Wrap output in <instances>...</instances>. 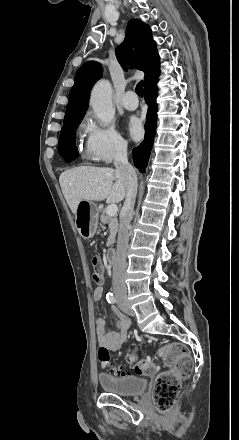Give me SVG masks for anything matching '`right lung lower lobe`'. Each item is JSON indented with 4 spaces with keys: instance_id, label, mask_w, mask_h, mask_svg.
I'll use <instances>...</instances> for the list:
<instances>
[{
    "instance_id": "98d812e1",
    "label": "right lung lower lobe",
    "mask_w": 239,
    "mask_h": 440,
    "mask_svg": "<svg viewBox=\"0 0 239 440\" xmlns=\"http://www.w3.org/2000/svg\"><path fill=\"white\" fill-rule=\"evenodd\" d=\"M160 72L153 74L147 80H145V101L148 104V112L146 116L145 124V139L144 141L133 149V161L135 166L141 171L145 172V168L148 163L150 152L152 149V144L155 136L156 121H157V104L156 95L157 87L156 83L158 81L157 77ZM67 162H70L78 157V152L76 147L65 150L60 154Z\"/></svg>"
}]
</instances>
